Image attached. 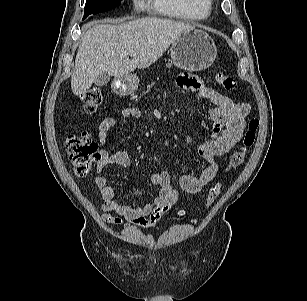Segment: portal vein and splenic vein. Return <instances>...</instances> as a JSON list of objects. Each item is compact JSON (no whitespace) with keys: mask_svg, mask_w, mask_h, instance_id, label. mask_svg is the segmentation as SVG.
<instances>
[{"mask_svg":"<svg viewBox=\"0 0 307 301\" xmlns=\"http://www.w3.org/2000/svg\"><path fill=\"white\" fill-rule=\"evenodd\" d=\"M136 55V52L132 51L130 52V56H135Z\"/></svg>","mask_w":307,"mask_h":301,"instance_id":"portal-vein-and-splenic-vein-1","label":"portal vein and splenic vein"}]
</instances>
